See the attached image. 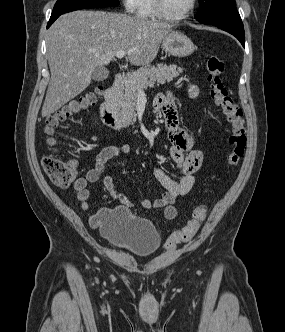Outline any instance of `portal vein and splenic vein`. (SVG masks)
<instances>
[{"instance_id": "obj_1", "label": "portal vein and splenic vein", "mask_w": 285, "mask_h": 332, "mask_svg": "<svg viewBox=\"0 0 285 332\" xmlns=\"http://www.w3.org/2000/svg\"><path fill=\"white\" fill-rule=\"evenodd\" d=\"M129 52H126V51H123V50H120V51H118L117 53H116V57L117 58H123L126 54H128ZM139 95H144V91H143V89H141L140 91H139Z\"/></svg>"}]
</instances>
